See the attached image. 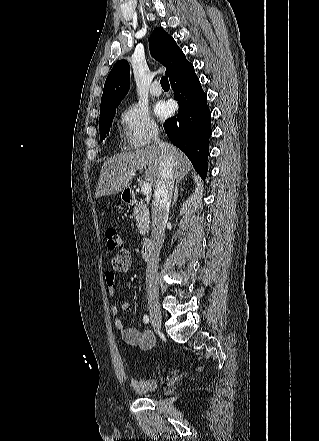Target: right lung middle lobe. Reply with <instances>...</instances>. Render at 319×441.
<instances>
[{
	"instance_id": "obj_1",
	"label": "right lung middle lobe",
	"mask_w": 319,
	"mask_h": 441,
	"mask_svg": "<svg viewBox=\"0 0 319 441\" xmlns=\"http://www.w3.org/2000/svg\"><path fill=\"white\" fill-rule=\"evenodd\" d=\"M116 107L117 106L107 107L100 110L99 130L101 141L109 134L112 120L116 113Z\"/></svg>"
}]
</instances>
